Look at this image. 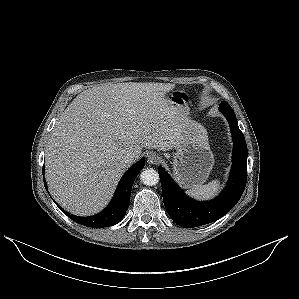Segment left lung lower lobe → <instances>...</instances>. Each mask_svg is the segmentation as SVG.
Returning a JSON list of instances; mask_svg holds the SVG:
<instances>
[{"mask_svg": "<svg viewBox=\"0 0 299 299\" xmlns=\"http://www.w3.org/2000/svg\"><path fill=\"white\" fill-rule=\"evenodd\" d=\"M219 110L229 122L234 145L230 178L216 199L197 202L188 198L166 171L162 167L158 168L165 208L171 219L184 228L205 225L221 218L236 205L246 185L248 152L244 135L230 105L223 101Z\"/></svg>", "mask_w": 299, "mask_h": 299, "instance_id": "left-lung-lower-lobe-1", "label": "left lung lower lobe"}]
</instances>
